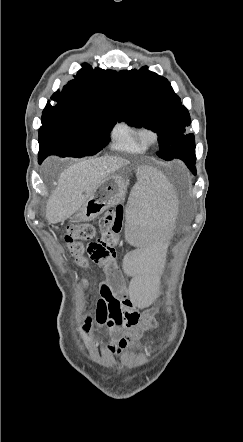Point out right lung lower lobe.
<instances>
[{"mask_svg": "<svg viewBox=\"0 0 243 442\" xmlns=\"http://www.w3.org/2000/svg\"><path fill=\"white\" fill-rule=\"evenodd\" d=\"M42 162V160H41V158H39V163H41Z\"/></svg>", "mask_w": 243, "mask_h": 442, "instance_id": "98d812e1", "label": "right lung lower lobe"}]
</instances>
